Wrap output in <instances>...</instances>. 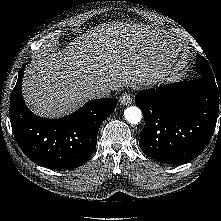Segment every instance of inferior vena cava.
<instances>
[{"mask_svg":"<svg viewBox=\"0 0 221 221\" xmlns=\"http://www.w3.org/2000/svg\"><path fill=\"white\" fill-rule=\"evenodd\" d=\"M89 95L92 98H105L109 96V91L105 88H97L92 90Z\"/></svg>","mask_w":221,"mask_h":221,"instance_id":"602c4592","label":"inferior vena cava"}]
</instances>
